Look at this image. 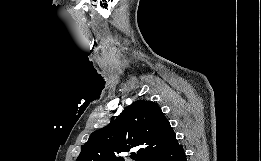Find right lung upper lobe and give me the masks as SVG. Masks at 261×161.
Here are the masks:
<instances>
[{"label":"right lung upper lobe","instance_id":"1","mask_svg":"<svg viewBox=\"0 0 261 161\" xmlns=\"http://www.w3.org/2000/svg\"><path fill=\"white\" fill-rule=\"evenodd\" d=\"M177 144L160 107L152 101L137 100L125 107L117 119L90 135L77 161H124L119 155L133 147H140L136 161H147Z\"/></svg>","mask_w":261,"mask_h":161}]
</instances>
